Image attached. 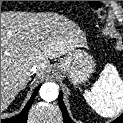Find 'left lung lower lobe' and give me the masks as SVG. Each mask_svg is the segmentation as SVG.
I'll use <instances>...</instances> for the list:
<instances>
[{"label":"left lung lower lobe","instance_id":"obj_1","mask_svg":"<svg viewBox=\"0 0 123 123\" xmlns=\"http://www.w3.org/2000/svg\"><path fill=\"white\" fill-rule=\"evenodd\" d=\"M59 104H60L61 111L63 113L64 123H75L71 120V118L68 115L67 109L62 100V93L59 95ZM112 123H123V114L119 118H117L115 121H113Z\"/></svg>","mask_w":123,"mask_h":123}]
</instances>
